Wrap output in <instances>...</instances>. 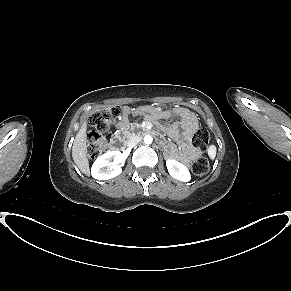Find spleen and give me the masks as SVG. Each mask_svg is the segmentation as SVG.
<instances>
[{"instance_id":"1","label":"spleen","mask_w":291,"mask_h":291,"mask_svg":"<svg viewBox=\"0 0 291 291\" xmlns=\"http://www.w3.org/2000/svg\"><path fill=\"white\" fill-rule=\"evenodd\" d=\"M216 151H217V149H216V146H214V145H211V146L208 148V155H209V157H210L211 159H214V158H215V156H216Z\"/></svg>"}]
</instances>
